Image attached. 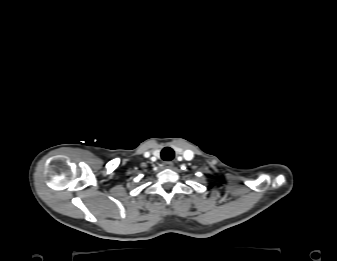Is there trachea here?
<instances>
[{
  "mask_svg": "<svg viewBox=\"0 0 337 261\" xmlns=\"http://www.w3.org/2000/svg\"><path fill=\"white\" fill-rule=\"evenodd\" d=\"M161 158L164 161H171L174 158V150L170 147H165L161 151Z\"/></svg>",
  "mask_w": 337,
  "mask_h": 261,
  "instance_id": "3493384b",
  "label": "trachea"
}]
</instances>
